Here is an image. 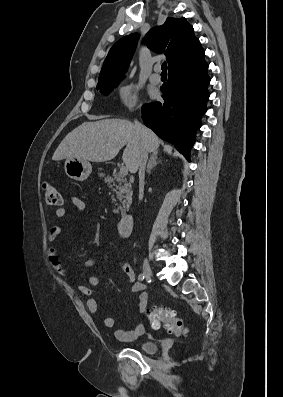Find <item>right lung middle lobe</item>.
<instances>
[{
	"label": "right lung middle lobe",
	"mask_w": 283,
	"mask_h": 397,
	"mask_svg": "<svg viewBox=\"0 0 283 397\" xmlns=\"http://www.w3.org/2000/svg\"><path fill=\"white\" fill-rule=\"evenodd\" d=\"M122 79V78H121ZM121 79H112V80H107V81H99L97 84V88L100 89V91L106 95L109 92H111L114 88V86H117L118 83L120 82Z\"/></svg>",
	"instance_id": "1"
}]
</instances>
